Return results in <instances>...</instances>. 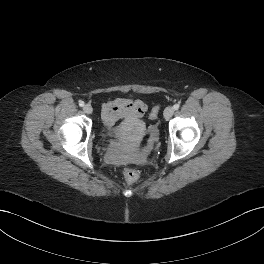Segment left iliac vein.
<instances>
[{
    "mask_svg": "<svg viewBox=\"0 0 264 264\" xmlns=\"http://www.w3.org/2000/svg\"><path fill=\"white\" fill-rule=\"evenodd\" d=\"M174 114V108L171 106H168L165 110H164V117L166 119H170L172 117V115Z\"/></svg>",
    "mask_w": 264,
    "mask_h": 264,
    "instance_id": "obj_1",
    "label": "left iliac vein"
}]
</instances>
